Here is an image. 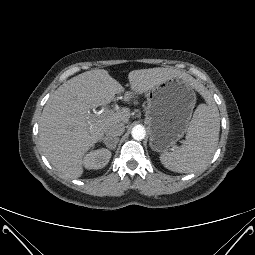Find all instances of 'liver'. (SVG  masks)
<instances>
[{"label": "liver", "instance_id": "6515ba94", "mask_svg": "<svg viewBox=\"0 0 255 255\" xmlns=\"http://www.w3.org/2000/svg\"><path fill=\"white\" fill-rule=\"evenodd\" d=\"M172 77H180L201 90L189 74L158 67L131 71L128 79L133 92L125 97L142 94ZM122 91L108 71L96 69L69 79L47 101L39 122L40 144L49 162L66 177L77 179L82 176L85 153L103 138L110 124L128 123L130 112L127 108L108 116L90 112L92 108L110 103Z\"/></svg>", "mask_w": 255, "mask_h": 255}]
</instances>
